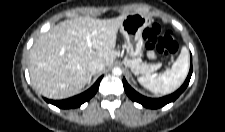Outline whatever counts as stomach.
Wrapping results in <instances>:
<instances>
[{"mask_svg": "<svg viewBox=\"0 0 225 132\" xmlns=\"http://www.w3.org/2000/svg\"><path fill=\"white\" fill-rule=\"evenodd\" d=\"M149 25V19L139 13L128 14L120 26L124 36L127 54L136 58L142 54L143 31Z\"/></svg>", "mask_w": 225, "mask_h": 132, "instance_id": "obj_1", "label": "stomach"}]
</instances>
